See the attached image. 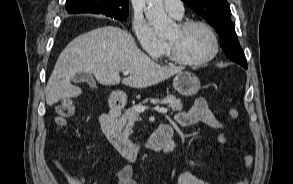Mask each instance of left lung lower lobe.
<instances>
[{
    "mask_svg": "<svg viewBox=\"0 0 293 184\" xmlns=\"http://www.w3.org/2000/svg\"><path fill=\"white\" fill-rule=\"evenodd\" d=\"M238 64L247 69V62H238Z\"/></svg>",
    "mask_w": 293,
    "mask_h": 184,
    "instance_id": "obj_1",
    "label": "left lung lower lobe"
}]
</instances>
